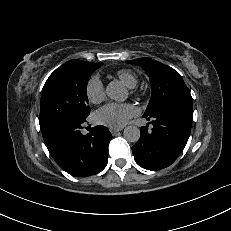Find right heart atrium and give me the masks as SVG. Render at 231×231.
Returning a JSON list of instances; mask_svg holds the SVG:
<instances>
[{"instance_id": "right-heart-atrium-1", "label": "right heart atrium", "mask_w": 231, "mask_h": 231, "mask_svg": "<svg viewBox=\"0 0 231 231\" xmlns=\"http://www.w3.org/2000/svg\"><path fill=\"white\" fill-rule=\"evenodd\" d=\"M86 96L91 103H100L105 97L102 81L98 77L91 78L86 84Z\"/></svg>"}]
</instances>
